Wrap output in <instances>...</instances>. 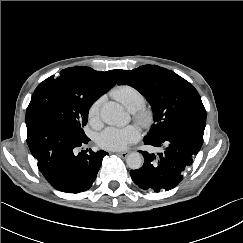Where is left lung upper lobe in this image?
<instances>
[{"label": "left lung upper lobe", "instance_id": "left-lung-upper-lobe-1", "mask_svg": "<svg viewBox=\"0 0 243 243\" xmlns=\"http://www.w3.org/2000/svg\"><path fill=\"white\" fill-rule=\"evenodd\" d=\"M118 85L135 88L152 107L154 124L143 140H159L179 119L206 112L199 93L190 83L156 65L125 70Z\"/></svg>", "mask_w": 243, "mask_h": 243}]
</instances>
